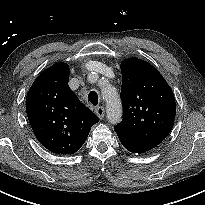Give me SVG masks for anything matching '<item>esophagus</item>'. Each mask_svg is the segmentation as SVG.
<instances>
[{"mask_svg": "<svg viewBox=\"0 0 205 205\" xmlns=\"http://www.w3.org/2000/svg\"><path fill=\"white\" fill-rule=\"evenodd\" d=\"M95 112H96L97 116H98L100 119H103V118H104V114H105L104 107H102V106L96 107V108H95Z\"/></svg>", "mask_w": 205, "mask_h": 205, "instance_id": "obj_1", "label": "esophagus"}]
</instances>
